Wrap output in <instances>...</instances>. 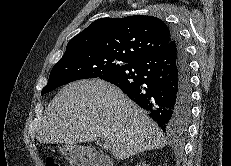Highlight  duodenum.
<instances>
[{"label": "duodenum", "instance_id": "1", "mask_svg": "<svg viewBox=\"0 0 231 166\" xmlns=\"http://www.w3.org/2000/svg\"><path fill=\"white\" fill-rule=\"evenodd\" d=\"M80 158L84 160L89 166H111L108 159L94 151V150H86L80 154Z\"/></svg>", "mask_w": 231, "mask_h": 166}]
</instances>
